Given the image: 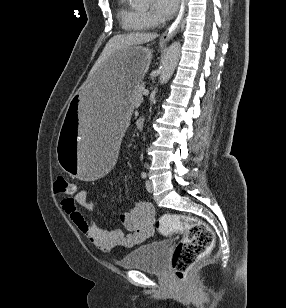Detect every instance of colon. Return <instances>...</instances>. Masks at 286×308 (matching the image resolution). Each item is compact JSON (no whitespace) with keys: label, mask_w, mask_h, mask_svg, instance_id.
<instances>
[{"label":"colon","mask_w":286,"mask_h":308,"mask_svg":"<svg viewBox=\"0 0 286 308\" xmlns=\"http://www.w3.org/2000/svg\"><path fill=\"white\" fill-rule=\"evenodd\" d=\"M54 191L58 195L71 197L75 192V184L64 177H58ZM157 227L163 235L183 233L184 237L172 255V268L179 281L185 283L189 269L212 248L214 232L200 219L182 214H163Z\"/></svg>","instance_id":"5ec220e1"}]
</instances>
